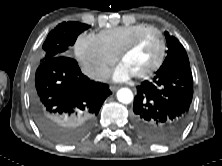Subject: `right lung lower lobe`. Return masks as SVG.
I'll list each match as a JSON object with an SVG mask.
<instances>
[{"instance_id": "98d812e1", "label": "right lung lower lobe", "mask_w": 222, "mask_h": 166, "mask_svg": "<svg viewBox=\"0 0 222 166\" xmlns=\"http://www.w3.org/2000/svg\"><path fill=\"white\" fill-rule=\"evenodd\" d=\"M109 86L82 74L67 55L41 62L31 92L32 111L38 126L60 143L81 138L105 99Z\"/></svg>"}]
</instances>
